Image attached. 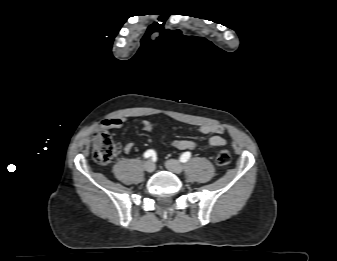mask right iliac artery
Returning a JSON list of instances; mask_svg holds the SVG:
<instances>
[{
	"label": "right iliac artery",
	"mask_w": 337,
	"mask_h": 261,
	"mask_svg": "<svg viewBox=\"0 0 337 261\" xmlns=\"http://www.w3.org/2000/svg\"><path fill=\"white\" fill-rule=\"evenodd\" d=\"M156 155L155 151L154 150H147L145 153H144V158H150V157H154Z\"/></svg>",
	"instance_id": "1"
}]
</instances>
